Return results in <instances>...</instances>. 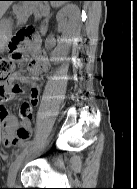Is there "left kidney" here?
Returning <instances> with one entry per match:
<instances>
[{"mask_svg": "<svg viewBox=\"0 0 137 189\" xmlns=\"http://www.w3.org/2000/svg\"><path fill=\"white\" fill-rule=\"evenodd\" d=\"M76 15H77V9L73 5H68L63 9H61L56 16L57 21L61 24V29L64 30L67 25L65 17L68 16L69 18L73 19L76 17ZM52 60L56 61L57 58L53 56Z\"/></svg>", "mask_w": 137, "mask_h": 189, "instance_id": "1", "label": "left kidney"}]
</instances>
